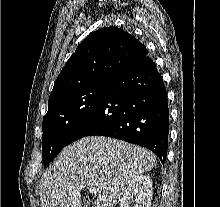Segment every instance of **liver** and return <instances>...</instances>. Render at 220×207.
Returning a JSON list of instances; mask_svg holds the SVG:
<instances>
[{"instance_id": "liver-1", "label": "liver", "mask_w": 220, "mask_h": 207, "mask_svg": "<svg viewBox=\"0 0 220 207\" xmlns=\"http://www.w3.org/2000/svg\"><path fill=\"white\" fill-rule=\"evenodd\" d=\"M156 165L155 155L140 146L92 136L65 147L39 184L41 207H81V190L98 189L93 207H114L126 186Z\"/></svg>"}]
</instances>
